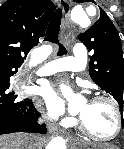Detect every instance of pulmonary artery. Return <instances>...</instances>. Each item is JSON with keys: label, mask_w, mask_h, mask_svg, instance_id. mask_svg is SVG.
Returning a JSON list of instances; mask_svg holds the SVG:
<instances>
[{"label": "pulmonary artery", "mask_w": 124, "mask_h": 149, "mask_svg": "<svg viewBox=\"0 0 124 149\" xmlns=\"http://www.w3.org/2000/svg\"><path fill=\"white\" fill-rule=\"evenodd\" d=\"M87 64L86 48L83 44H76L73 47L72 55L48 63L37 71L39 75H49L59 71L71 70L83 72Z\"/></svg>", "instance_id": "pulmonary-artery-1"}]
</instances>
